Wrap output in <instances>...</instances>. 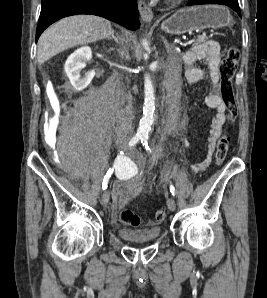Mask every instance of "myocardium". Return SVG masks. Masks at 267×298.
Instances as JSON below:
<instances>
[{
	"mask_svg": "<svg viewBox=\"0 0 267 298\" xmlns=\"http://www.w3.org/2000/svg\"><path fill=\"white\" fill-rule=\"evenodd\" d=\"M169 1H171V2H178V1H180V0H169Z\"/></svg>",
	"mask_w": 267,
	"mask_h": 298,
	"instance_id": "f54148a6",
	"label": "myocardium"
}]
</instances>
